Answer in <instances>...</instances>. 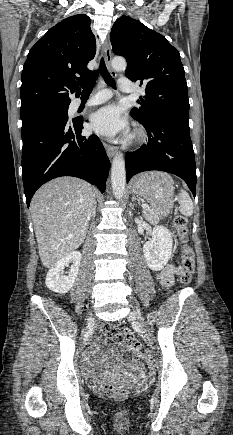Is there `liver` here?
I'll list each match as a JSON object with an SVG mask.
<instances>
[{"label":"liver","mask_w":233,"mask_h":435,"mask_svg":"<svg viewBox=\"0 0 233 435\" xmlns=\"http://www.w3.org/2000/svg\"><path fill=\"white\" fill-rule=\"evenodd\" d=\"M95 206L93 188L79 178L59 177L37 190L30 211L44 267L79 248Z\"/></svg>","instance_id":"1"}]
</instances>
